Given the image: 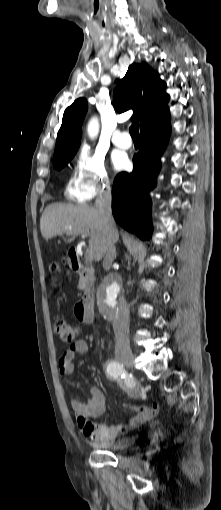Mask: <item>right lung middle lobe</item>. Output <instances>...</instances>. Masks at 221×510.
<instances>
[{
  "instance_id": "right-lung-middle-lobe-1",
  "label": "right lung middle lobe",
  "mask_w": 221,
  "mask_h": 510,
  "mask_svg": "<svg viewBox=\"0 0 221 510\" xmlns=\"http://www.w3.org/2000/svg\"><path fill=\"white\" fill-rule=\"evenodd\" d=\"M77 150H78V148H73L65 153H62V154L54 157V159H53L54 167H56L58 169L63 168L74 157Z\"/></svg>"
}]
</instances>
